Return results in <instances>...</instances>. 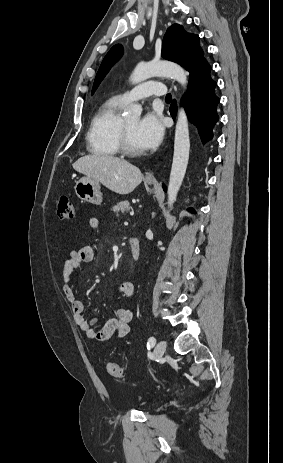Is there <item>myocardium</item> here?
<instances>
[{"label": "myocardium", "instance_id": "obj_1", "mask_svg": "<svg viewBox=\"0 0 283 463\" xmlns=\"http://www.w3.org/2000/svg\"><path fill=\"white\" fill-rule=\"evenodd\" d=\"M119 149L126 155L131 157L140 156L143 154L142 151L135 150L129 141L128 132L126 129L125 122L122 120L119 130Z\"/></svg>", "mask_w": 283, "mask_h": 463}]
</instances>
